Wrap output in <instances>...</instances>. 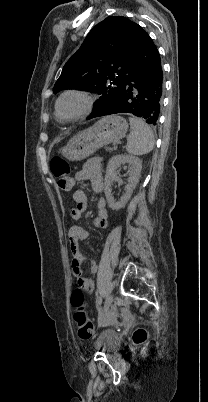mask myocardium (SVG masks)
<instances>
[{"mask_svg": "<svg viewBox=\"0 0 208 402\" xmlns=\"http://www.w3.org/2000/svg\"><path fill=\"white\" fill-rule=\"evenodd\" d=\"M72 94L83 96L87 101L86 107L78 115H75V116H72V117H64V116H62L60 114L59 104H60V102L62 101L63 98H65L68 95H72ZM95 101H96L95 97L90 92H87L85 90H79V89L65 90L59 95V97L57 98V100L55 102V106H54L55 116L61 122H72V121L82 119V118L88 116L92 112V110H93V108L95 106Z\"/></svg>", "mask_w": 208, "mask_h": 402, "instance_id": "f54148a6", "label": "myocardium"}]
</instances>
